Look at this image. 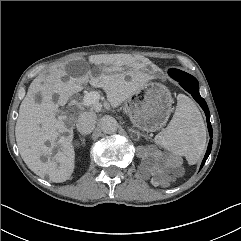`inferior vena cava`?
Listing matches in <instances>:
<instances>
[{
	"mask_svg": "<svg viewBox=\"0 0 241 241\" xmlns=\"http://www.w3.org/2000/svg\"><path fill=\"white\" fill-rule=\"evenodd\" d=\"M96 118L93 111L82 112L76 121L77 130L82 134H90L95 128Z\"/></svg>",
	"mask_w": 241,
	"mask_h": 241,
	"instance_id": "1",
	"label": "inferior vena cava"
}]
</instances>
